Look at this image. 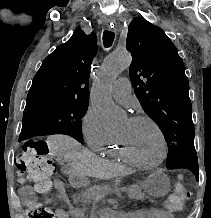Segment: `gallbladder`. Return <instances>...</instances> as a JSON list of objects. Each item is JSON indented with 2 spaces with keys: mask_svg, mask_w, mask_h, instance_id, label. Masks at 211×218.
<instances>
[{
  "mask_svg": "<svg viewBox=\"0 0 211 218\" xmlns=\"http://www.w3.org/2000/svg\"><path fill=\"white\" fill-rule=\"evenodd\" d=\"M70 170H71V166L70 164H68V162H65V164H62L61 172H63V174H69Z\"/></svg>",
  "mask_w": 211,
  "mask_h": 218,
  "instance_id": "1",
  "label": "gallbladder"
}]
</instances>
